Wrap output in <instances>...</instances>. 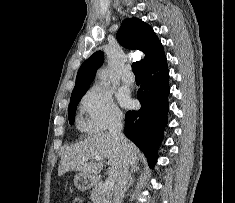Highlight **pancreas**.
I'll list each match as a JSON object with an SVG mask.
<instances>
[{
    "mask_svg": "<svg viewBox=\"0 0 235 203\" xmlns=\"http://www.w3.org/2000/svg\"><path fill=\"white\" fill-rule=\"evenodd\" d=\"M90 198L93 203H112V195L109 191L104 190L102 182L95 185Z\"/></svg>",
    "mask_w": 235,
    "mask_h": 203,
    "instance_id": "obj_1",
    "label": "pancreas"
}]
</instances>
